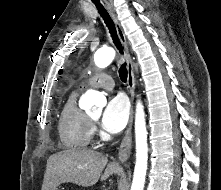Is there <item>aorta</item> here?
<instances>
[{"label": "aorta", "instance_id": "aorta-1", "mask_svg": "<svg viewBox=\"0 0 221 190\" xmlns=\"http://www.w3.org/2000/svg\"><path fill=\"white\" fill-rule=\"evenodd\" d=\"M114 58L113 48H102L95 52L94 62L97 67L105 68L112 63ZM83 98L92 107V110H95L98 105L103 106L106 103L105 97L95 90H88ZM135 142L136 162L130 190H143L148 163V144L145 113L140 101L137 102L135 112Z\"/></svg>", "mask_w": 221, "mask_h": 190}]
</instances>
